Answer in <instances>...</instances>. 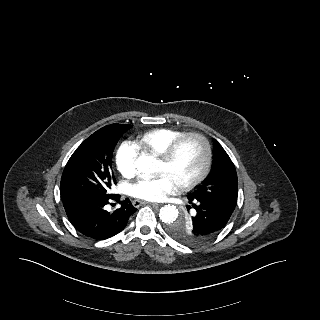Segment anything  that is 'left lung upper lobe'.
<instances>
[{"label": "left lung upper lobe", "mask_w": 320, "mask_h": 320, "mask_svg": "<svg viewBox=\"0 0 320 320\" xmlns=\"http://www.w3.org/2000/svg\"><path fill=\"white\" fill-rule=\"evenodd\" d=\"M214 157L210 175L198 188L188 195L201 197L217 202L226 210L233 212L237 204L238 179L234 164L222 146L214 140ZM187 206L189 215L178 218L168 226L169 234L183 244H198L203 242L196 234L200 227L199 214L194 206Z\"/></svg>", "instance_id": "1"}]
</instances>
